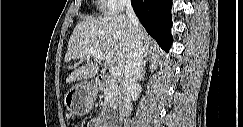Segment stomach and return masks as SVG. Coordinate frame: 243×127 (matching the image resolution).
Listing matches in <instances>:
<instances>
[{"instance_id": "obj_1", "label": "stomach", "mask_w": 243, "mask_h": 127, "mask_svg": "<svg viewBox=\"0 0 243 127\" xmlns=\"http://www.w3.org/2000/svg\"><path fill=\"white\" fill-rule=\"evenodd\" d=\"M97 95L94 83L84 81L71 87L64 95V106L71 115L84 116L92 108Z\"/></svg>"}]
</instances>
